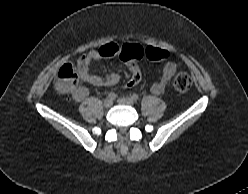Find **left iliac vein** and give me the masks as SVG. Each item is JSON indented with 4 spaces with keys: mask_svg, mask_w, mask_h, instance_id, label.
I'll return each instance as SVG.
<instances>
[{
    "mask_svg": "<svg viewBox=\"0 0 248 194\" xmlns=\"http://www.w3.org/2000/svg\"><path fill=\"white\" fill-rule=\"evenodd\" d=\"M117 102L119 104H122V105H133L134 104V101L133 99L129 98V97H122V98H119L117 100Z\"/></svg>",
    "mask_w": 248,
    "mask_h": 194,
    "instance_id": "4c4485c4",
    "label": "left iliac vein"
}]
</instances>
